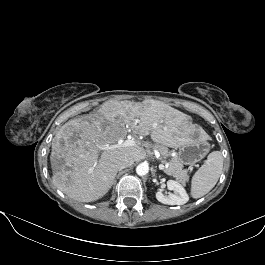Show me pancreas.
<instances>
[{
  "label": "pancreas",
  "mask_w": 265,
  "mask_h": 265,
  "mask_svg": "<svg viewBox=\"0 0 265 265\" xmlns=\"http://www.w3.org/2000/svg\"><path fill=\"white\" fill-rule=\"evenodd\" d=\"M158 150L160 151L163 158H166L171 154V152L165 146H158ZM164 172L168 175H172L179 181H186L188 179L186 171L183 170V164L179 161L177 156H173L171 158L167 167L164 169Z\"/></svg>",
  "instance_id": "cf45deb5"
}]
</instances>
